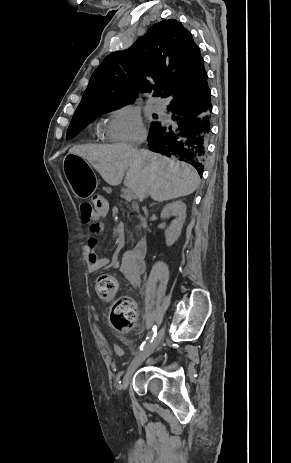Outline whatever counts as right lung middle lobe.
I'll return each mask as SVG.
<instances>
[{
	"label": "right lung middle lobe",
	"mask_w": 291,
	"mask_h": 463,
	"mask_svg": "<svg viewBox=\"0 0 291 463\" xmlns=\"http://www.w3.org/2000/svg\"><path fill=\"white\" fill-rule=\"evenodd\" d=\"M132 101L129 102H111L105 103L101 105H97L94 107L86 108V109H77L73 115L71 120L70 126L67 130L66 137L72 138L74 137L85 125L93 121L96 117L120 108L126 104H130ZM157 122H153L151 126L155 125Z\"/></svg>",
	"instance_id": "obj_1"
}]
</instances>
